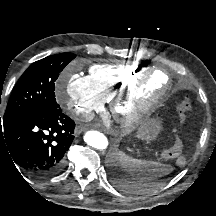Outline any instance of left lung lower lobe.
<instances>
[{"mask_svg": "<svg viewBox=\"0 0 216 216\" xmlns=\"http://www.w3.org/2000/svg\"><path fill=\"white\" fill-rule=\"evenodd\" d=\"M113 178L115 183L119 187L125 190H129V191L139 190V184H137L136 181L132 177H129L126 173L116 169L115 166H114Z\"/></svg>", "mask_w": 216, "mask_h": 216, "instance_id": "left-lung-lower-lobe-1", "label": "left lung lower lobe"}]
</instances>
